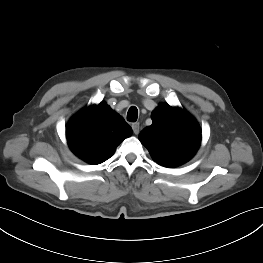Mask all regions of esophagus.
<instances>
[{
	"mask_svg": "<svg viewBox=\"0 0 263 263\" xmlns=\"http://www.w3.org/2000/svg\"><path fill=\"white\" fill-rule=\"evenodd\" d=\"M132 129H133L134 134H136V135L139 134V130H140L139 123H133Z\"/></svg>",
	"mask_w": 263,
	"mask_h": 263,
	"instance_id": "1",
	"label": "esophagus"
}]
</instances>
